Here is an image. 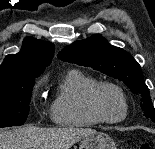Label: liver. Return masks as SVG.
Instances as JSON below:
<instances>
[{"mask_svg": "<svg viewBox=\"0 0 155 149\" xmlns=\"http://www.w3.org/2000/svg\"><path fill=\"white\" fill-rule=\"evenodd\" d=\"M94 132L96 131L89 128L43 129L25 126L0 131V149H70L76 142Z\"/></svg>", "mask_w": 155, "mask_h": 149, "instance_id": "1", "label": "liver"}]
</instances>
